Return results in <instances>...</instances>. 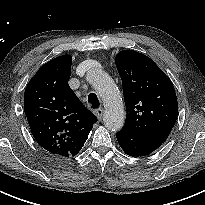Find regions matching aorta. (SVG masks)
<instances>
[{"label":"aorta","instance_id":"762f6f07","mask_svg":"<svg viewBox=\"0 0 205 205\" xmlns=\"http://www.w3.org/2000/svg\"><path fill=\"white\" fill-rule=\"evenodd\" d=\"M87 80L94 86L103 100L105 127L112 131L120 130L124 125L125 112L120 91L114 81L106 72L98 69L89 71Z\"/></svg>","mask_w":205,"mask_h":205}]
</instances>
